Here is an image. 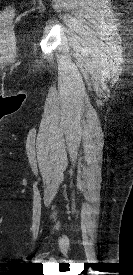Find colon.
I'll use <instances>...</instances> for the list:
<instances>
[{
	"mask_svg": "<svg viewBox=\"0 0 133 275\" xmlns=\"http://www.w3.org/2000/svg\"><path fill=\"white\" fill-rule=\"evenodd\" d=\"M2 14L7 16V17H10L12 15V11L11 10H5V11H3Z\"/></svg>",
	"mask_w": 133,
	"mask_h": 275,
	"instance_id": "colon-1",
	"label": "colon"
}]
</instances>
